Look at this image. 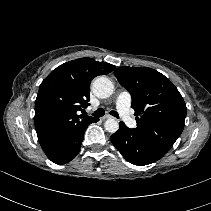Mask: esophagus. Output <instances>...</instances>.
<instances>
[{
  "instance_id": "1",
  "label": "esophagus",
  "mask_w": 211,
  "mask_h": 211,
  "mask_svg": "<svg viewBox=\"0 0 211 211\" xmlns=\"http://www.w3.org/2000/svg\"><path fill=\"white\" fill-rule=\"evenodd\" d=\"M108 118H111L110 115H105L102 119L105 120V119H108Z\"/></svg>"
}]
</instances>
